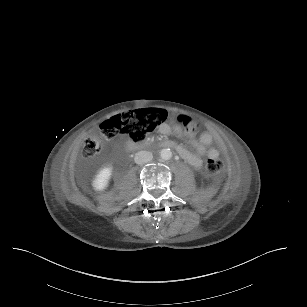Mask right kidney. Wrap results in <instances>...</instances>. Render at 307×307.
Here are the masks:
<instances>
[{
    "label": "right kidney",
    "mask_w": 307,
    "mask_h": 307,
    "mask_svg": "<svg viewBox=\"0 0 307 307\" xmlns=\"http://www.w3.org/2000/svg\"><path fill=\"white\" fill-rule=\"evenodd\" d=\"M112 174V167H105L99 171L92 182V186L96 191H102L107 188Z\"/></svg>",
    "instance_id": "ca27d5eb"
}]
</instances>
